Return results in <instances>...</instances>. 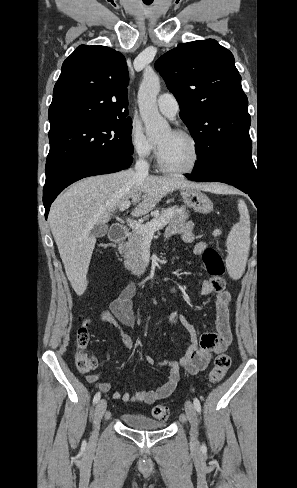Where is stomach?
I'll return each instance as SVG.
<instances>
[{"mask_svg":"<svg viewBox=\"0 0 297 488\" xmlns=\"http://www.w3.org/2000/svg\"><path fill=\"white\" fill-rule=\"evenodd\" d=\"M180 194L188 207L196 212L208 214L213 210V203L210 198L199 189L182 188Z\"/></svg>","mask_w":297,"mask_h":488,"instance_id":"obj_1","label":"stomach"}]
</instances>
